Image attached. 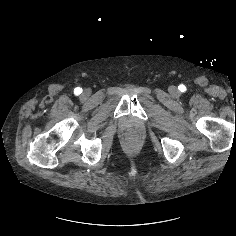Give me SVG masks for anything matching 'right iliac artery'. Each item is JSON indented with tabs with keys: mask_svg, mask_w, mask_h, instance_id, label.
I'll list each match as a JSON object with an SVG mask.
<instances>
[{
	"mask_svg": "<svg viewBox=\"0 0 236 236\" xmlns=\"http://www.w3.org/2000/svg\"><path fill=\"white\" fill-rule=\"evenodd\" d=\"M81 93H82V88L76 87V88L74 89V94H75V95H79V94H81Z\"/></svg>",
	"mask_w": 236,
	"mask_h": 236,
	"instance_id": "1",
	"label": "right iliac artery"
}]
</instances>
